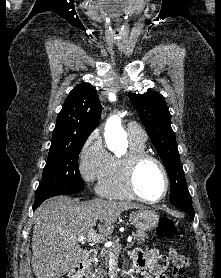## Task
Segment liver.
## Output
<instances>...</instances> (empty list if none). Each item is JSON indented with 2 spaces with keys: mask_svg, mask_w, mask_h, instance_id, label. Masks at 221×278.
I'll return each instance as SVG.
<instances>
[{
  "mask_svg": "<svg viewBox=\"0 0 221 278\" xmlns=\"http://www.w3.org/2000/svg\"><path fill=\"white\" fill-rule=\"evenodd\" d=\"M142 209L129 201L93 199L78 203L54 197L35 212L32 237V268L36 278H60L82 262L86 250L78 244L97 221L99 235H110L123 211Z\"/></svg>",
  "mask_w": 221,
  "mask_h": 278,
  "instance_id": "1",
  "label": "liver"
}]
</instances>
